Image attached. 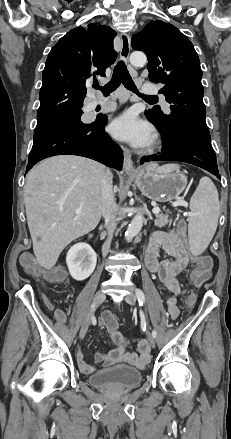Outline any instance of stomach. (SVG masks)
<instances>
[{
    "label": "stomach",
    "instance_id": "stomach-1",
    "mask_svg": "<svg viewBox=\"0 0 231 439\" xmlns=\"http://www.w3.org/2000/svg\"><path fill=\"white\" fill-rule=\"evenodd\" d=\"M128 175L134 179L142 195L157 202L175 200L184 191L187 178L180 172H163L155 164L137 168Z\"/></svg>",
    "mask_w": 231,
    "mask_h": 439
}]
</instances>
